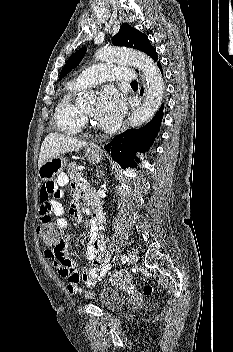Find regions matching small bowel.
<instances>
[{
	"label": "small bowel",
	"instance_id": "obj_1",
	"mask_svg": "<svg viewBox=\"0 0 233 352\" xmlns=\"http://www.w3.org/2000/svg\"><path fill=\"white\" fill-rule=\"evenodd\" d=\"M68 183V176L61 173L54 181H46L40 190V221L56 225L63 232L66 230L68 223L62 216L65 207L58 200L63 196V188ZM73 202L70 208V214L76 221L81 219L78 200L81 195H85L90 200L93 196L90 192H83L78 183L71 186ZM55 216V219H53ZM90 237L85 252V257L92 263L83 268H78L73 258L67 251L69 236L65 235L64 242L53 248L45 249V257L52 262L53 267L58 270L59 274L66 279L67 288L70 293L78 291V285L83 282L86 286L92 287L98 281L102 280L110 271V257L106 251V238L104 235V220L102 215L98 218L91 219Z\"/></svg>",
	"mask_w": 233,
	"mask_h": 352
}]
</instances>
